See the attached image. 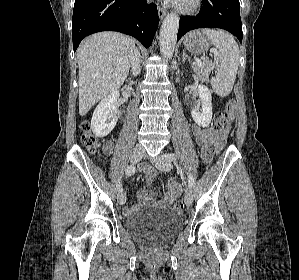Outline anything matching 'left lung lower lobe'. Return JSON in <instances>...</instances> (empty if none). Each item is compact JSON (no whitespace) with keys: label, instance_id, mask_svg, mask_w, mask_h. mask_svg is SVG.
I'll return each mask as SVG.
<instances>
[{"label":"left lung lower lobe","instance_id":"left-lung-lower-lobe-1","mask_svg":"<svg viewBox=\"0 0 299 280\" xmlns=\"http://www.w3.org/2000/svg\"><path fill=\"white\" fill-rule=\"evenodd\" d=\"M239 11V0H202V8L198 15L180 17L177 41L190 30L212 27L225 29L242 42L243 33Z\"/></svg>","mask_w":299,"mask_h":280}]
</instances>
